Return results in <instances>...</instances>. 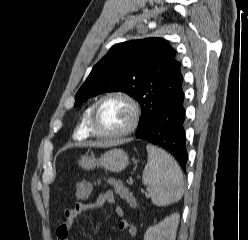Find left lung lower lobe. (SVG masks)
Returning a JSON list of instances; mask_svg holds the SVG:
<instances>
[{"instance_id": "obj_1", "label": "left lung lower lobe", "mask_w": 248, "mask_h": 240, "mask_svg": "<svg viewBox=\"0 0 248 240\" xmlns=\"http://www.w3.org/2000/svg\"><path fill=\"white\" fill-rule=\"evenodd\" d=\"M186 111L184 94L164 105L136 138L169 151L185 170L188 154L186 149Z\"/></svg>"}]
</instances>
